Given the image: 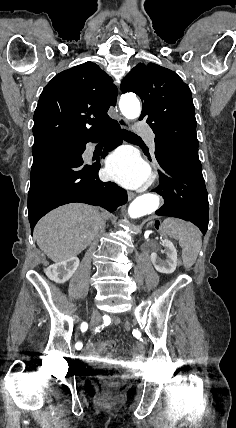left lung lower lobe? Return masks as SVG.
<instances>
[{
	"mask_svg": "<svg viewBox=\"0 0 236 428\" xmlns=\"http://www.w3.org/2000/svg\"><path fill=\"white\" fill-rule=\"evenodd\" d=\"M158 163L161 183L153 191L162 195L165 202L156 215L190 221L205 234L209 203L200 160L167 150Z\"/></svg>",
	"mask_w": 236,
	"mask_h": 428,
	"instance_id": "0a47b994",
	"label": "left lung lower lobe"
}]
</instances>
